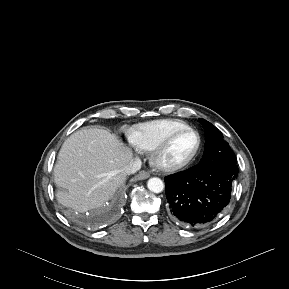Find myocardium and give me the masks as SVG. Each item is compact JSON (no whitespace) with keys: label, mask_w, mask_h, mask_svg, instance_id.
<instances>
[{"label":"myocardium","mask_w":289,"mask_h":289,"mask_svg":"<svg viewBox=\"0 0 289 289\" xmlns=\"http://www.w3.org/2000/svg\"><path fill=\"white\" fill-rule=\"evenodd\" d=\"M192 132L197 136V146L193 153L188 156L186 159L178 161V162H166L163 160V156L169 146L172 144V142L180 135ZM202 146V137L200 133L192 128V127H186L179 130H176L169 134L158 146H156L153 149L152 155H151V162L152 165L161 172H175L177 170H180L182 168H185L189 164H191L196 157L198 156Z\"/></svg>","instance_id":"obj_1"}]
</instances>
